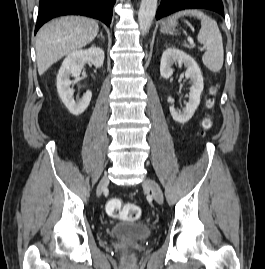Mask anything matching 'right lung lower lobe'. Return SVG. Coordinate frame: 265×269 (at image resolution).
Masks as SVG:
<instances>
[{"label": "right lung lower lobe", "instance_id": "right-lung-lower-lobe-1", "mask_svg": "<svg viewBox=\"0 0 265 269\" xmlns=\"http://www.w3.org/2000/svg\"><path fill=\"white\" fill-rule=\"evenodd\" d=\"M116 0H40L35 33L47 21L63 15H84L110 25Z\"/></svg>", "mask_w": 265, "mask_h": 269}]
</instances>
